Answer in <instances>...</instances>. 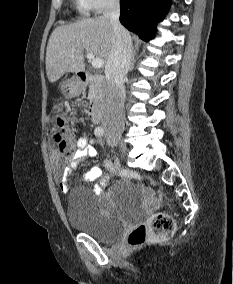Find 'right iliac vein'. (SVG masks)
I'll list each match as a JSON object with an SVG mask.
<instances>
[{"instance_id":"1","label":"right iliac vein","mask_w":233,"mask_h":284,"mask_svg":"<svg viewBox=\"0 0 233 284\" xmlns=\"http://www.w3.org/2000/svg\"><path fill=\"white\" fill-rule=\"evenodd\" d=\"M112 139L120 146L122 151L125 152L127 150L126 145H125V143L123 142V139L120 136H114V137H112Z\"/></svg>"}]
</instances>
